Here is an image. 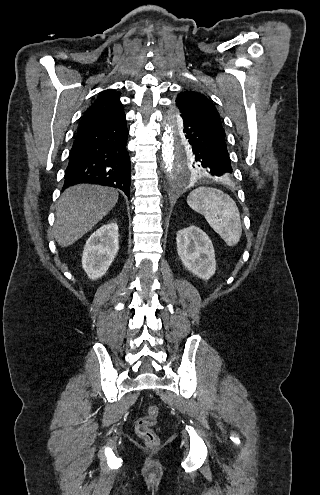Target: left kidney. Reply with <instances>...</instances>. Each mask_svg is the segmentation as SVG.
Here are the masks:
<instances>
[{"label": "left kidney", "mask_w": 320, "mask_h": 495, "mask_svg": "<svg viewBox=\"0 0 320 495\" xmlns=\"http://www.w3.org/2000/svg\"><path fill=\"white\" fill-rule=\"evenodd\" d=\"M178 255L187 270L208 280L216 271L215 252L209 237L198 227L190 226L178 231Z\"/></svg>", "instance_id": "obj_1"}]
</instances>
